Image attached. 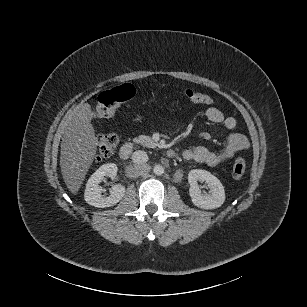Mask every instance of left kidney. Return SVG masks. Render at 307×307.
<instances>
[{
	"instance_id": "obj_1",
	"label": "left kidney",
	"mask_w": 307,
	"mask_h": 307,
	"mask_svg": "<svg viewBox=\"0 0 307 307\" xmlns=\"http://www.w3.org/2000/svg\"><path fill=\"white\" fill-rule=\"evenodd\" d=\"M198 181L205 182L210 189V193L203 196ZM188 182L190 184L189 195L191 203L203 210H214L221 207L225 200V190L220 180L206 170L194 169L188 173Z\"/></svg>"
}]
</instances>
